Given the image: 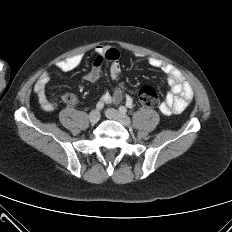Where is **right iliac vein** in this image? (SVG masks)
I'll use <instances>...</instances> for the list:
<instances>
[{"instance_id": "1", "label": "right iliac vein", "mask_w": 232, "mask_h": 232, "mask_svg": "<svg viewBox=\"0 0 232 232\" xmlns=\"http://www.w3.org/2000/svg\"><path fill=\"white\" fill-rule=\"evenodd\" d=\"M100 119V113L98 110H93L89 114V121L93 124L97 123Z\"/></svg>"}]
</instances>
